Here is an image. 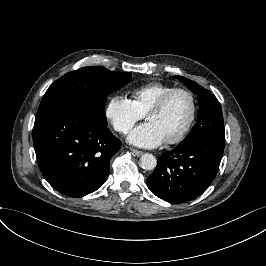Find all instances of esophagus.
I'll return each instance as SVG.
<instances>
[{"instance_id": "34e87169", "label": "esophagus", "mask_w": 266, "mask_h": 266, "mask_svg": "<svg viewBox=\"0 0 266 266\" xmlns=\"http://www.w3.org/2000/svg\"><path fill=\"white\" fill-rule=\"evenodd\" d=\"M130 150L136 155V156H140L142 154V151L140 150H136V149H133V148H130Z\"/></svg>"}]
</instances>
